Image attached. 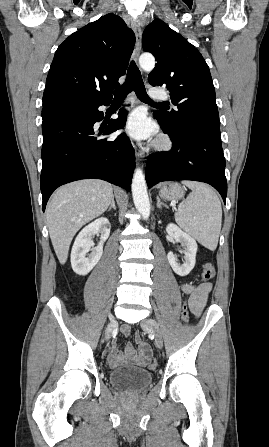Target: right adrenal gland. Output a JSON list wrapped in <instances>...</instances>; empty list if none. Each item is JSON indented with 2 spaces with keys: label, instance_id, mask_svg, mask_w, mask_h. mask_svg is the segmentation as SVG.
Returning a JSON list of instances; mask_svg holds the SVG:
<instances>
[{
  "label": "right adrenal gland",
  "instance_id": "1",
  "mask_svg": "<svg viewBox=\"0 0 269 447\" xmlns=\"http://www.w3.org/2000/svg\"><path fill=\"white\" fill-rule=\"evenodd\" d=\"M112 208H113V210H116L114 196H112V204H110L109 210H107V212H110V210H112Z\"/></svg>",
  "mask_w": 269,
  "mask_h": 447
}]
</instances>
